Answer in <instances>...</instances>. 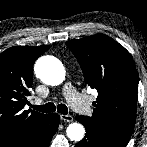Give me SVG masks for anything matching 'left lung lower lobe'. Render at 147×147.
I'll list each match as a JSON object with an SVG mask.
<instances>
[{
  "label": "left lung lower lobe",
  "instance_id": "0a47b994",
  "mask_svg": "<svg viewBox=\"0 0 147 147\" xmlns=\"http://www.w3.org/2000/svg\"><path fill=\"white\" fill-rule=\"evenodd\" d=\"M75 119L82 123L86 128V135L75 145V147H124L116 144L107 137L101 130L90 125L85 116H76Z\"/></svg>",
  "mask_w": 147,
  "mask_h": 147
}]
</instances>
